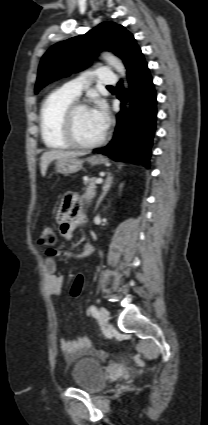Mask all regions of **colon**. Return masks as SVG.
Wrapping results in <instances>:
<instances>
[{
    "label": "colon",
    "instance_id": "colon-1",
    "mask_svg": "<svg viewBox=\"0 0 208 425\" xmlns=\"http://www.w3.org/2000/svg\"><path fill=\"white\" fill-rule=\"evenodd\" d=\"M55 242L56 233L54 228L51 226H44L40 232L39 243L43 246L51 247L55 244ZM85 282L86 278L84 275H77L70 290V294L72 297L78 298L82 294L83 289L85 287Z\"/></svg>",
    "mask_w": 208,
    "mask_h": 425
}]
</instances>
